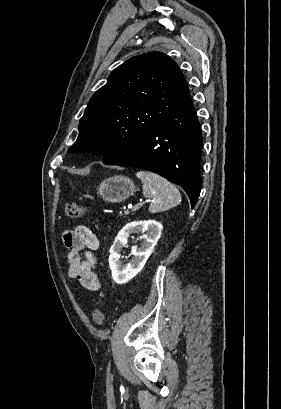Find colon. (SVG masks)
I'll list each match as a JSON object with an SVG mask.
<instances>
[{"mask_svg": "<svg viewBox=\"0 0 281 409\" xmlns=\"http://www.w3.org/2000/svg\"><path fill=\"white\" fill-rule=\"evenodd\" d=\"M65 212L71 218H80L83 215L82 207L75 202L65 205ZM104 320V312L101 306H96L93 311V322L96 326H101Z\"/></svg>", "mask_w": 281, "mask_h": 409, "instance_id": "colon-1", "label": "colon"}]
</instances>
